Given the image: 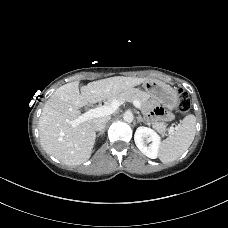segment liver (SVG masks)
I'll use <instances>...</instances> for the list:
<instances>
[{"label": "liver", "mask_w": 228, "mask_h": 228, "mask_svg": "<svg viewBox=\"0 0 228 228\" xmlns=\"http://www.w3.org/2000/svg\"><path fill=\"white\" fill-rule=\"evenodd\" d=\"M146 80L148 79L115 76L90 82L80 90L78 81L59 87L44 105L39 118L41 146L46 153L65 165L77 166L84 163L90 158L95 144V119H89L76 127L67 121L80 116L79 109L88 103L115 100L121 92L133 89ZM105 117L109 116L98 118Z\"/></svg>", "instance_id": "1"}]
</instances>
